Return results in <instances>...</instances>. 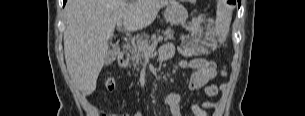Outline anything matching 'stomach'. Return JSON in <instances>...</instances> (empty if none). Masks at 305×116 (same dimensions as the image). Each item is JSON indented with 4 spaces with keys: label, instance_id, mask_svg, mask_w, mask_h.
Returning a JSON list of instances; mask_svg holds the SVG:
<instances>
[{
    "label": "stomach",
    "instance_id": "obj_1",
    "mask_svg": "<svg viewBox=\"0 0 305 116\" xmlns=\"http://www.w3.org/2000/svg\"><path fill=\"white\" fill-rule=\"evenodd\" d=\"M164 17L172 25H184L188 18V12L178 1H173L167 5Z\"/></svg>",
    "mask_w": 305,
    "mask_h": 116
}]
</instances>
